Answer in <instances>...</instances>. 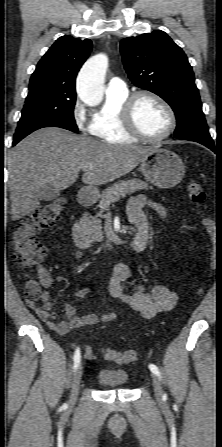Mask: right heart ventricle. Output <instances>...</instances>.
Listing matches in <instances>:
<instances>
[{
	"label": "right heart ventricle",
	"mask_w": 222,
	"mask_h": 447,
	"mask_svg": "<svg viewBox=\"0 0 222 447\" xmlns=\"http://www.w3.org/2000/svg\"><path fill=\"white\" fill-rule=\"evenodd\" d=\"M128 91L106 93L104 106L93 115L90 133L102 142L112 145L132 144L138 139L125 132L120 122V108Z\"/></svg>",
	"instance_id": "obj_1"
}]
</instances>
